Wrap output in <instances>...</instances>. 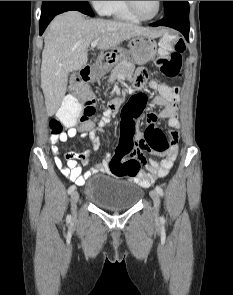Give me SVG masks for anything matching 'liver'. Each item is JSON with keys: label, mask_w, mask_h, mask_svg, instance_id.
<instances>
[{"label": "liver", "mask_w": 233, "mask_h": 295, "mask_svg": "<svg viewBox=\"0 0 233 295\" xmlns=\"http://www.w3.org/2000/svg\"><path fill=\"white\" fill-rule=\"evenodd\" d=\"M140 35L154 38L161 32L127 22L85 19L78 11L56 16L46 31L42 51L41 88L47 115L59 109L69 74L86 66L88 47L94 40L99 41L98 49L108 50Z\"/></svg>", "instance_id": "6515ba94"}]
</instances>
